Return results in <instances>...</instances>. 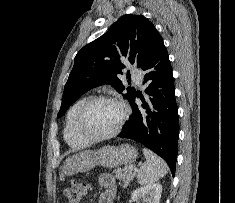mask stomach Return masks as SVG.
Returning <instances> with one entry per match:
<instances>
[{
	"label": "stomach",
	"mask_w": 235,
	"mask_h": 203,
	"mask_svg": "<svg viewBox=\"0 0 235 203\" xmlns=\"http://www.w3.org/2000/svg\"><path fill=\"white\" fill-rule=\"evenodd\" d=\"M137 156V150L129 144L105 146L96 151L86 150L66 159L61 172L63 175L71 176L90 171L97 165L113 168L122 164H131Z\"/></svg>",
	"instance_id": "stomach-1"
}]
</instances>
